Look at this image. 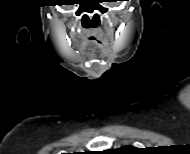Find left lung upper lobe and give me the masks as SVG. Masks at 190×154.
<instances>
[{
	"label": "left lung upper lobe",
	"instance_id": "5c2ea615",
	"mask_svg": "<svg viewBox=\"0 0 190 154\" xmlns=\"http://www.w3.org/2000/svg\"><path fill=\"white\" fill-rule=\"evenodd\" d=\"M120 149L123 150V151L137 150L136 148L131 147V146L123 147V148H120Z\"/></svg>",
	"mask_w": 190,
	"mask_h": 154
}]
</instances>
